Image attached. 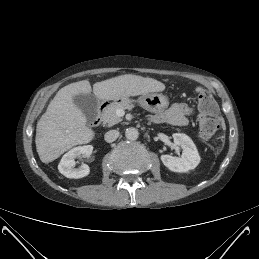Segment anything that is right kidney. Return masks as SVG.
I'll list each match as a JSON object with an SVG mask.
<instances>
[{"label":"right kidney","mask_w":259,"mask_h":259,"mask_svg":"<svg viewBox=\"0 0 259 259\" xmlns=\"http://www.w3.org/2000/svg\"><path fill=\"white\" fill-rule=\"evenodd\" d=\"M92 151V145L78 146L71 149L63 155L58 165L59 172L67 178L79 179L86 177L90 173L89 166L82 164L78 169L74 168L76 165L75 158L80 157L81 155L89 157L92 154Z\"/></svg>","instance_id":"1"}]
</instances>
